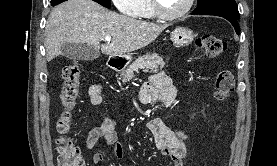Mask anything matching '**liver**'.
Here are the masks:
<instances>
[{"instance_id":"obj_1","label":"liver","mask_w":277,"mask_h":166,"mask_svg":"<svg viewBox=\"0 0 277 166\" xmlns=\"http://www.w3.org/2000/svg\"><path fill=\"white\" fill-rule=\"evenodd\" d=\"M167 27L112 12L93 0H68L47 19L46 59L61 55L66 43L88 44L106 55H126L152 43ZM105 37L111 41L100 45Z\"/></svg>"}]
</instances>
